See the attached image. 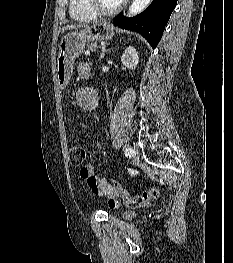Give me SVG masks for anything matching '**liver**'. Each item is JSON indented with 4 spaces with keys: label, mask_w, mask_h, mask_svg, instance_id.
<instances>
[{
    "label": "liver",
    "mask_w": 233,
    "mask_h": 263,
    "mask_svg": "<svg viewBox=\"0 0 233 263\" xmlns=\"http://www.w3.org/2000/svg\"><path fill=\"white\" fill-rule=\"evenodd\" d=\"M82 27H85V25H70V26H66L63 28V32L65 30H68V29H78V28H82Z\"/></svg>",
    "instance_id": "6515ba94"
}]
</instances>
